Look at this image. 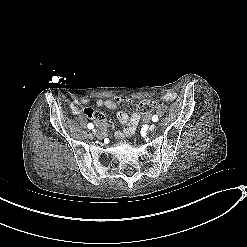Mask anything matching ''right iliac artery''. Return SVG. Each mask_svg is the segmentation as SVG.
Instances as JSON below:
<instances>
[{"label":"right iliac artery","mask_w":247,"mask_h":247,"mask_svg":"<svg viewBox=\"0 0 247 247\" xmlns=\"http://www.w3.org/2000/svg\"><path fill=\"white\" fill-rule=\"evenodd\" d=\"M88 128H89V129H93V128H94V125H93L92 123H89V124H88Z\"/></svg>","instance_id":"82829eb1"}]
</instances>
